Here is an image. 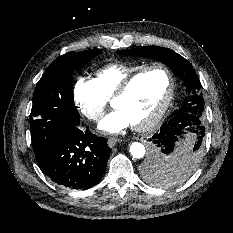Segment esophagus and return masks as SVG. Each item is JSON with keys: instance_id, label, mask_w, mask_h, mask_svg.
<instances>
[{"instance_id": "1", "label": "esophagus", "mask_w": 233, "mask_h": 233, "mask_svg": "<svg viewBox=\"0 0 233 233\" xmlns=\"http://www.w3.org/2000/svg\"><path fill=\"white\" fill-rule=\"evenodd\" d=\"M117 142H119V139L113 138V137L108 138V140H107V143H108L109 147H111V148L114 147Z\"/></svg>"}]
</instances>
